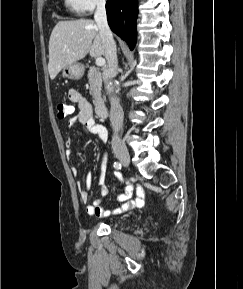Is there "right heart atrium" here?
Returning a JSON list of instances; mask_svg holds the SVG:
<instances>
[{
  "label": "right heart atrium",
  "mask_w": 243,
  "mask_h": 289,
  "mask_svg": "<svg viewBox=\"0 0 243 289\" xmlns=\"http://www.w3.org/2000/svg\"><path fill=\"white\" fill-rule=\"evenodd\" d=\"M67 6L78 12L88 13L106 5L107 0H65Z\"/></svg>",
  "instance_id": "right-heart-atrium-1"
}]
</instances>
